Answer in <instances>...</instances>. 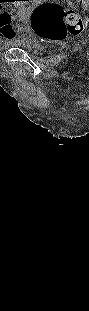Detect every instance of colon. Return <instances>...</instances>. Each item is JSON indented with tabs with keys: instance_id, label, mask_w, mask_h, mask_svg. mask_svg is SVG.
<instances>
[{
	"instance_id": "5ec220e1",
	"label": "colon",
	"mask_w": 89,
	"mask_h": 311,
	"mask_svg": "<svg viewBox=\"0 0 89 311\" xmlns=\"http://www.w3.org/2000/svg\"><path fill=\"white\" fill-rule=\"evenodd\" d=\"M1 20L11 29L24 30V23H12L11 14L3 13ZM31 29L39 37L51 41L64 39L68 34L77 35L84 28V20L74 9H69L54 2H44L37 6L30 20Z\"/></svg>"
}]
</instances>
